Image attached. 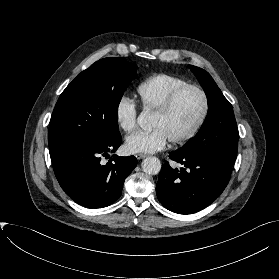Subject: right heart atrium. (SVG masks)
<instances>
[{
  "mask_svg": "<svg viewBox=\"0 0 279 279\" xmlns=\"http://www.w3.org/2000/svg\"><path fill=\"white\" fill-rule=\"evenodd\" d=\"M138 108L127 96H122L115 107V120L125 133H130L137 126Z\"/></svg>",
  "mask_w": 279,
  "mask_h": 279,
  "instance_id": "right-heart-atrium-1",
  "label": "right heart atrium"
}]
</instances>
